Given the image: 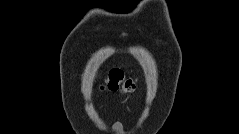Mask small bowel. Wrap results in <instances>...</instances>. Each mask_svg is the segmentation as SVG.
I'll list each match as a JSON object with an SVG mask.
<instances>
[{"label": "small bowel", "instance_id": "small-bowel-1", "mask_svg": "<svg viewBox=\"0 0 239 134\" xmlns=\"http://www.w3.org/2000/svg\"><path fill=\"white\" fill-rule=\"evenodd\" d=\"M114 127L117 129V130H120L121 129V124L119 122H116L114 124Z\"/></svg>", "mask_w": 239, "mask_h": 134}]
</instances>
